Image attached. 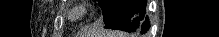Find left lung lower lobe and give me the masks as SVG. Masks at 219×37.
<instances>
[{"label": "left lung lower lobe", "instance_id": "1", "mask_svg": "<svg viewBox=\"0 0 219 37\" xmlns=\"http://www.w3.org/2000/svg\"><path fill=\"white\" fill-rule=\"evenodd\" d=\"M146 0H121L105 28L131 32L133 37H143L149 29V19L145 17Z\"/></svg>", "mask_w": 219, "mask_h": 37}]
</instances>
